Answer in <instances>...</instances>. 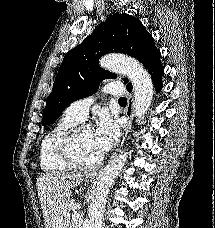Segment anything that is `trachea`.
I'll list each match as a JSON object with an SVG mask.
<instances>
[{"mask_svg": "<svg viewBox=\"0 0 215 228\" xmlns=\"http://www.w3.org/2000/svg\"><path fill=\"white\" fill-rule=\"evenodd\" d=\"M119 103H127V100H126V98H124V97H121V98H119Z\"/></svg>", "mask_w": 215, "mask_h": 228, "instance_id": "obj_1", "label": "trachea"}]
</instances>
